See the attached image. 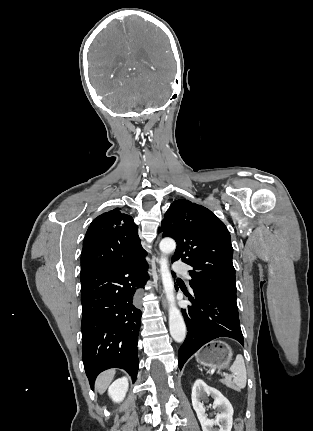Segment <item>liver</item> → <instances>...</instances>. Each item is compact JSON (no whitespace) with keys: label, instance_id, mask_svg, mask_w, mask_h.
<instances>
[{"label":"liver","instance_id":"6515ba94","mask_svg":"<svg viewBox=\"0 0 313 431\" xmlns=\"http://www.w3.org/2000/svg\"><path fill=\"white\" fill-rule=\"evenodd\" d=\"M115 375V370H108L99 375L96 380V389L102 394L105 392Z\"/></svg>","mask_w":313,"mask_h":431}]
</instances>
